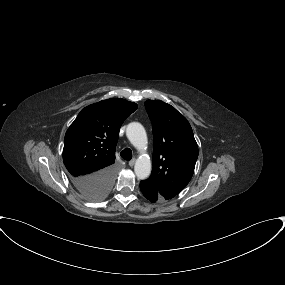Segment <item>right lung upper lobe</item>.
Returning <instances> with one entry per match:
<instances>
[{
  "label": "right lung upper lobe",
  "mask_w": 285,
  "mask_h": 285,
  "mask_svg": "<svg viewBox=\"0 0 285 285\" xmlns=\"http://www.w3.org/2000/svg\"><path fill=\"white\" fill-rule=\"evenodd\" d=\"M136 109L137 104L121 98L82 109L65 134L63 161L69 173L80 177L112 166L119 129Z\"/></svg>",
  "instance_id": "right-lung-upper-lobe-1"
}]
</instances>
